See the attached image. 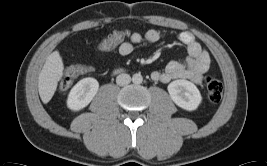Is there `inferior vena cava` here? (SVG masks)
<instances>
[{"label":"inferior vena cava","mask_w":267,"mask_h":166,"mask_svg":"<svg viewBox=\"0 0 267 166\" xmlns=\"http://www.w3.org/2000/svg\"><path fill=\"white\" fill-rule=\"evenodd\" d=\"M131 82V77L129 74L122 73L116 77V83L119 86L127 85Z\"/></svg>","instance_id":"602c4592"}]
</instances>
